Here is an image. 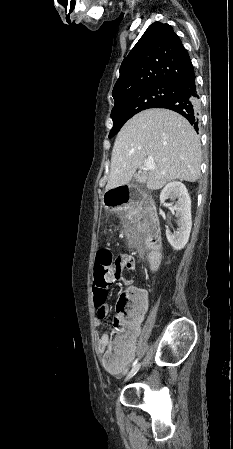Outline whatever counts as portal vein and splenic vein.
<instances>
[{
    "instance_id": "18ae733b",
    "label": "portal vein and splenic vein",
    "mask_w": 233,
    "mask_h": 449,
    "mask_svg": "<svg viewBox=\"0 0 233 449\" xmlns=\"http://www.w3.org/2000/svg\"><path fill=\"white\" fill-rule=\"evenodd\" d=\"M155 168V163L153 160L149 159L145 162V169H153Z\"/></svg>"
}]
</instances>
